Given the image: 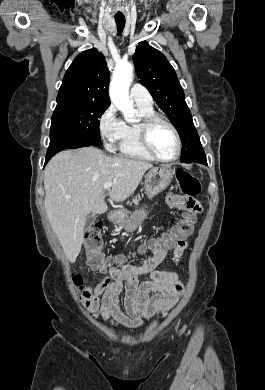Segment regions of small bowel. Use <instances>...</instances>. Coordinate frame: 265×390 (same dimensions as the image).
I'll use <instances>...</instances> for the list:
<instances>
[{"label": "small bowel", "instance_id": "c3829d8e", "mask_svg": "<svg viewBox=\"0 0 265 390\" xmlns=\"http://www.w3.org/2000/svg\"><path fill=\"white\" fill-rule=\"evenodd\" d=\"M167 204L185 213H199V202L194 197L170 193ZM177 226L160 237L150 239L139 252L152 251L141 265H131L123 255L108 259V275L89 289L87 309L113 327L133 329L144 322L166 314L177 302L183 283L177 273L158 270L169 251L177 261L187 248L186 238L176 239ZM148 275L150 280L139 282L138 277ZM125 283V310L119 306V296ZM154 293L152 297H149Z\"/></svg>", "mask_w": 265, "mask_h": 390}]
</instances>
